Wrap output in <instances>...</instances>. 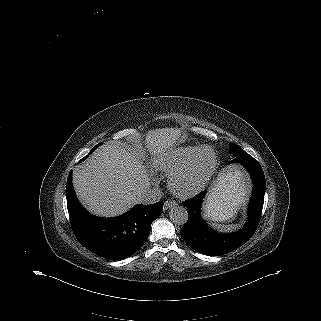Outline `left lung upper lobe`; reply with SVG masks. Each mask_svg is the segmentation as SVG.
<instances>
[{
	"instance_id": "obj_1",
	"label": "left lung upper lobe",
	"mask_w": 321,
	"mask_h": 321,
	"mask_svg": "<svg viewBox=\"0 0 321 321\" xmlns=\"http://www.w3.org/2000/svg\"><path fill=\"white\" fill-rule=\"evenodd\" d=\"M230 144V150L232 152V154L236 157V156H239V155H242V154H245L246 152L241 148L239 147L238 145L234 144V143H229Z\"/></svg>"
}]
</instances>
